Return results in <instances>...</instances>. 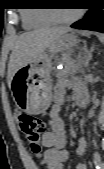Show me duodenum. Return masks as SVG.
<instances>
[{
    "label": "duodenum",
    "instance_id": "obj_1",
    "mask_svg": "<svg viewBox=\"0 0 104 169\" xmlns=\"http://www.w3.org/2000/svg\"><path fill=\"white\" fill-rule=\"evenodd\" d=\"M77 107L80 109H84L88 106V98L87 96H79L76 98Z\"/></svg>",
    "mask_w": 104,
    "mask_h": 169
}]
</instances>
